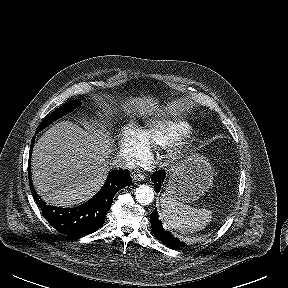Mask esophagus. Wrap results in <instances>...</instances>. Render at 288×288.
Instances as JSON below:
<instances>
[{
	"instance_id": "34e87169",
	"label": "esophagus",
	"mask_w": 288,
	"mask_h": 288,
	"mask_svg": "<svg viewBox=\"0 0 288 288\" xmlns=\"http://www.w3.org/2000/svg\"><path fill=\"white\" fill-rule=\"evenodd\" d=\"M132 179L134 182H141L145 179V176L142 173H133Z\"/></svg>"
}]
</instances>
